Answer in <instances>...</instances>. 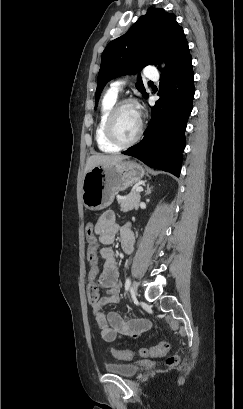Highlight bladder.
Segmentation results:
<instances>
[{"instance_id": "bladder-1", "label": "bladder", "mask_w": 243, "mask_h": 409, "mask_svg": "<svg viewBox=\"0 0 243 409\" xmlns=\"http://www.w3.org/2000/svg\"><path fill=\"white\" fill-rule=\"evenodd\" d=\"M140 369V366L136 363L133 364H112L107 363L105 364V370L109 373L126 377L132 378L134 377Z\"/></svg>"}]
</instances>
